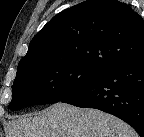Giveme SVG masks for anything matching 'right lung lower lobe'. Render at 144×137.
I'll return each instance as SVG.
<instances>
[{"instance_id": "98d812e1", "label": "right lung lower lobe", "mask_w": 144, "mask_h": 137, "mask_svg": "<svg viewBox=\"0 0 144 137\" xmlns=\"http://www.w3.org/2000/svg\"><path fill=\"white\" fill-rule=\"evenodd\" d=\"M61 102L110 113L144 137V51L113 66Z\"/></svg>"}]
</instances>
